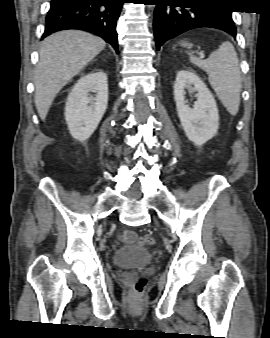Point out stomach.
Returning <instances> with one entry per match:
<instances>
[{"label":"stomach","mask_w":270,"mask_h":338,"mask_svg":"<svg viewBox=\"0 0 270 338\" xmlns=\"http://www.w3.org/2000/svg\"><path fill=\"white\" fill-rule=\"evenodd\" d=\"M180 45L183 46V47H187V48H191V46H192L191 43L185 42V41L181 42Z\"/></svg>","instance_id":"stomach-1"}]
</instances>
